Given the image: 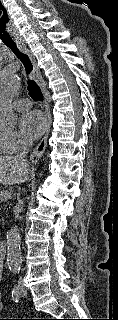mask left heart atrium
I'll list each match as a JSON object with an SVG mask.
<instances>
[{"label": "left heart atrium", "instance_id": "obj_1", "mask_svg": "<svg viewBox=\"0 0 118 320\" xmlns=\"http://www.w3.org/2000/svg\"><path fill=\"white\" fill-rule=\"evenodd\" d=\"M22 133L29 139L40 137L46 129V118L38 110L26 112L19 122Z\"/></svg>", "mask_w": 118, "mask_h": 320}]
</instances>
